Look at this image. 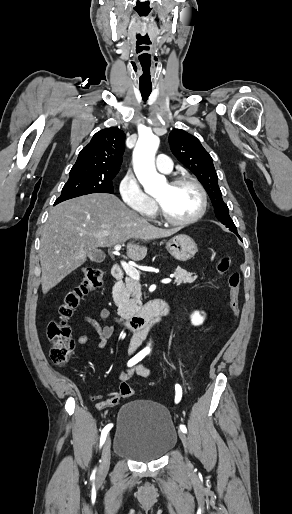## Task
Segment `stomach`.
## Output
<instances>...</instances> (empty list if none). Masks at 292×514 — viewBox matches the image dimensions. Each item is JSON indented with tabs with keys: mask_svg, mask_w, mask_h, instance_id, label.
I'll return each instance as SVG.
<instances>
[{
	"mask_svg": "<svg viewBox=\"0 0 292 514\" xmlns=\"http://www.w3.org/2000/svg\"><path fill=\"white\" fill-rule=\"evenodd\" d=\"M166 250L175 258V260H179V262H187V260H191L193 256H195L197 252V244H195L194 240L190 238V236H186V234H178V236H174L171 240L166 242Z\"/></svg>",
	"mask_w": 292,
	"mask_h": 514,
	"instance_id": "1",
	"label": "stomach"
}]
</instances>
